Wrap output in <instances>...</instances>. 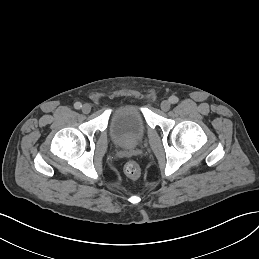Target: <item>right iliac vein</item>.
I'll return each mask as SVG.
<instances>
[{"label":"right iliac vein","instance_id":"1","mask_svg":"<svg viewBox=\"0 0 259 259\" xmlns=\"http://www.w3.org/2000/svg\"><path fill=\"white\" fill-rule=\"evenodd\" d=\"M90 111H91V106L89 104H84L82 107V112L84 114H88V113H90Z\"/></svg>","mask_w":259,"mask_h":259}]
</instances>
